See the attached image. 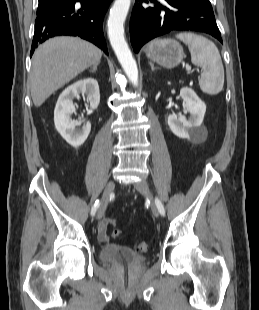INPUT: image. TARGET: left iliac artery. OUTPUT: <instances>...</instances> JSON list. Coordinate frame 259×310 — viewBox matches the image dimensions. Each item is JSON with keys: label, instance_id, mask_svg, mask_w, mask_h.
<instances>
[{"label": "left iliac artery", "instance_id": "1", "mask_svg": "<svg viewBox=\"0 0 259 310\" xmlns=\"http://www.w3.org/2000/svg\"><path fill=\"white\" fill-rule=\"evenodd\" d=\"M155 203H156V205H157V207H158L159 213H160L162 216H164V215H165V209H164V206H163V204L161 203V201H160L158 198H156Z\"/></svg>", "mask_w": 259, "mask_h": 310}]
</instances>
